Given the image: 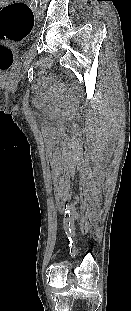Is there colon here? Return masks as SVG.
Here are the masks:
<instances>
[{
	"label": "colon",
	"mask_w": 131,
	"mask_h": 311,
	"mask_svg": "<svg viewBox=\"0 0 131 311\" xmlns=\"http://www.w3.org/2000/svg\"><path fill=\"white\" fill-rule=\"evenodd\" d=\"M34 27V14L30 6L18 0H8L0 4V39L24 40ZM13 62V53L5 45H0V70H7Z\"/></svg>",
	"instance_id": "5ec220e1"
}]
</instances>
